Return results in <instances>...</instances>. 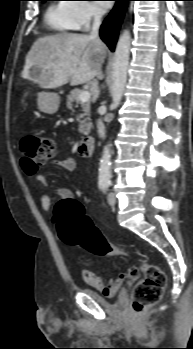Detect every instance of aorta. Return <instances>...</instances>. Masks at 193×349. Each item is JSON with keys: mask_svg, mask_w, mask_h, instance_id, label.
<instances>
[{"mask_svg": "<svg viewBox=\"0 0 193 349\" xmlns=\"http://www.w3.org/2000/svg\"><path fill=\"white\" fill-rule=\"evenodd\" d=\"M131 45V35L128 30H125L119 37L116 45L113 63H112V78L113 84L111 89L112 107L117 108L121 102L126 81L129 64ZM111 153L110 145L105 146L100 164H99V181L107 182L111 178Z\"/></svg>", "mask_w": 193, "mask_h": 349, "instance_id": "762f6f07", "label": "aorta"}]
</instances>
